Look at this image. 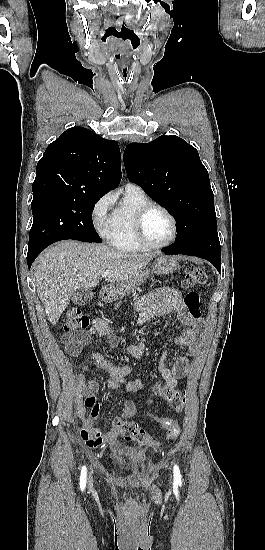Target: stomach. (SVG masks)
I'll list each match as a JSON object with an SVG mask.
<instances>
[{"mask_svg": "<svg viewBox=\"0 0 265 550\" xmlns=\"http://www.w3.org/2000/svg\"><path fill=\"white\" fill-rule=\"evenodd\" d=\"M180 267L175 257L157 255L150 264V269L145 268L135 279L129 283L128 288H124V292H128L140 283H142L149 275L150 271L156 274H170L178 270Z\"/></svg>", "mask_w": 265, "mask_h": 550, "instance_id": "0dacf381", "label": "stomach"}]
</instances>
